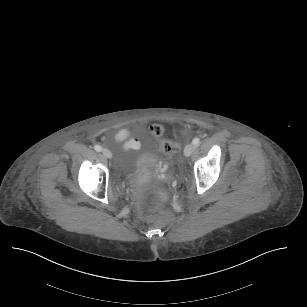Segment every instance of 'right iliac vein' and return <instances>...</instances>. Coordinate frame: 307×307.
Returning a JSON list of instances; mask_svg holds the SVG:
<instances>
[{
    "label": "right iliac vein",
    "mask_w": 307,
    "mask_h": 307,
    "mask_svg": "<svg viewBox=\"0 0 307 307\" xmlns=\"http://www.w3.org/2000/svg\"><path fill=\"white\" fill-rule=\"evenodd\" d=\"M102 154L106 157V158H111L112 154L108 149H103L102 150Z\"/></svg>",
    "instance_id": "obj_1"
}]
</instances>
